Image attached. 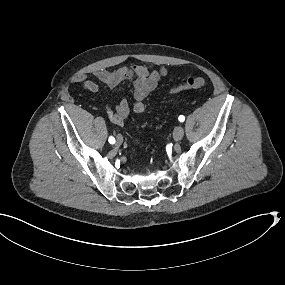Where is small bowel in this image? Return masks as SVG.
Returning a JSON list of instances; mask_svg holds the SVG:
<instances>
[{
  "label": "small bowel",
  "instance_id": "1",
  "mask_svg": "<svg viewBox=\"0 0 285 285\" xmlns=\"http://www.w3.org/2000/svg\"><path fill=\"white\" fill-rule=\"evenodd\" d=\"M167 72L164 67L156 70L148 66L133 65L113 71L98 70L93 75L99 82L109 87H116L124 81L131 82L134 88L132 109L135 113L143 114L146 98L157 87L160 79L167 75ZM75 82L80 84L85 91L91 93L99 91V84L88 79L84 74L76 76ZM105 108L110 121L117 126H123L124 120L130 111L128 101L121 99L115 107L106 105Z\"/></svg>",
  "mask_w": 285,
  "mask_h": 285
}]
</instances>
